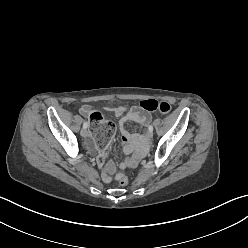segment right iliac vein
Wrapping results in <instances>:
<instances>
[{
    "instance_id": "1",
    "label": "right iliac vein",
    "mask_w": 248,
    "mask_h": 248,
    "mask_svg": "<svg viewBox=\"0 0 248 248\" xmlns=\"http://www.w3.org/2000/svg\"><path fill=\"white\" fill-rule=\"evenodd\" d=\"M87 135H88V130L85 129V128H83V129L81 130V136H82V137H86Z\"/></svg>"
}]
</instances>
